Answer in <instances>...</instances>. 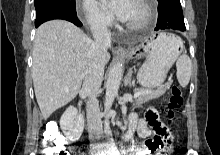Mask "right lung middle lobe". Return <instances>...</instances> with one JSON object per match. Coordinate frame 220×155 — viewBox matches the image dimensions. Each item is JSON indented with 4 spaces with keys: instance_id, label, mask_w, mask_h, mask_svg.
Returning a JSON list of instances; mask_svg holds the SVG:
<instances>
[{
    "instance_id": "right-lung-middle-lobe-1",
    "label": "right lung middle lobe",
    "mask_w": 220,
    "mask_h": 155,
    "mask_svg": "<svg viewBox=\"0 0 220 155\" xmlns=\"http://www.w3.org/2000/svg\"><path fill=\"white\" fill-rule=\"evenodd\" d=\"M36 17L55 10L76 13L75 0H34Z\"/></svg>"
}]
</instances>
